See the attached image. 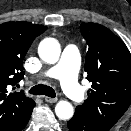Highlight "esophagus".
<instances>
[{"instance_id":"34e87169","label":"esophagus","mask_w":131,"mask_h":131,"mask_svg":"<svg viewBox=\"0 0 131 131\" xmlns=\"http://www.w3.org/2000/svg\"><path fill=\"white\" fill-rule=\"evenodd\" d=\"M44 100L46 102H48V103H55L58 99L57 98H51V97L45 96Z\"/></svg>"}]
</instances>
